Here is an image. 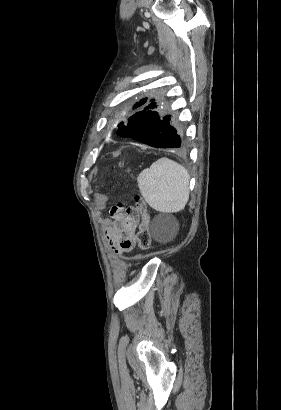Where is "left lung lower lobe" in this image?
I'll return each mask as SVG.
<instances>
[{"label": "left lung lower lobe", "mask_w": 281, "mask_h": 410, "mask_svg": "<svg viewBox=\"0 0 281 410\" xmlns=\"http://www.w3.org/2000/svg\"><path fill=\"white\" fill-rule=\"evenodd\" d=\"M170 115H162L156 102L130 117L128 123L121 124L122 137H130L157 148H185L180 133L170 124Z\"/></svg>", "instance_id": "left-lung-lower-lobe-1"}]
</instances>
